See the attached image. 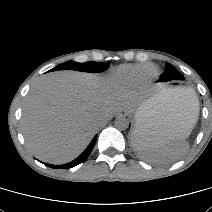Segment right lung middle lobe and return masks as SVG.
<instances>
[{
    "instance_id": "1",
    "label": "right lung middle lobe",
    "mask_w": 212,
    "mask_h": 212,
    "mask_svg": "<svg viewBox=\"0 0 212 212\" xmlns=\"http://www.w3.org/2000/svg\"><path fill=\"white\" fill-rule=\"evenodd\" d=\"M109 67L108 63H98V62H86V63H77L74 61H68L57 67L51 69L50 71L56 70H77L83 72H91V73H98L106 70Z\"/></svg>"
}]
</instances>
